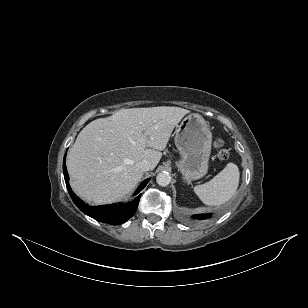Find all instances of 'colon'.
I'll use <instances>...</instances> for the list:
<instances>
[{"mask_svg": "<svg viewBox=\"0 0 308 308\" xmlns=\"http://www.w3.org/2000/svg\"><path fill=\"white\" fill-rule=\"evenodd\" d=\"M214 147L218 151V157L225 161L229 158V152L226 148H224V142L221 139H217L214 141Z\"/></svg>", "mask_w": 308, "mask_h": 308, "instance_id": "5ec220e1", "label": "colon"}]
</instances>
